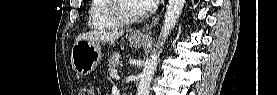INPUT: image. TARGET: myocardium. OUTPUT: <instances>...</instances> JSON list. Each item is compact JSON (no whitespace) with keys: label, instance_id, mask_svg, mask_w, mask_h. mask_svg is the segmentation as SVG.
Returning a JSON list of instances; mask_svg holds the SVG:
<instances>
[{"label":"myocardium","instance_id":"f54148a6","mask_svg":"<svg viewBox=\"0 0 277 95\" xmlns=\"http://www.w3.org/2000/svg\"><path fill=\"white\" fill-rule=\"evenodd\" d=\"M125 1L127 0H111L108 11L109 15L115 20H117L121 24H133L143 20L147 16L148 11L144 9L137 16L130 17L124 15L121 11V7Z\"/></svg>","mask_w":277,"mask_h":95}]
</instances>
